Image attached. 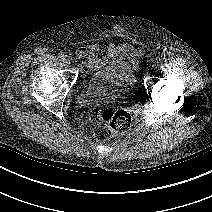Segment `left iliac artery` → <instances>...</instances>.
I'll return each mask as SVG.
<instances>
[{"instance_id": "1", "label": "left iliac artery", "mask_w": 212, "mask_h": 212, "mask_svg": "<svg viewBox=\"0 0 212 212\" xmlns=\"http://www.w3.org/2000/svg\"><path fill=\"white\" fill-rule=\"evenodd\" d=\"M158 66H159V64H158V63H155V64L153 65V68H158Z\"/></svg>"}]
</instances>
